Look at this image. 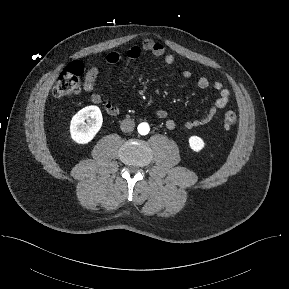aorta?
Returning <instances> with one entry per match:
<instances>
[{
  "instance_id": "1",
  "label": "aorta",
  "mask_w": 289,
  "mask_h": 289,
  "mask_svg": "<svg viewBox=\"0 0 289 289\" xmlns=\"http://www.w3.org/2000/svg\"><path fill=\"white\" fill-rule=\"evenodd\" d=\"M149 125L147 123H141L138 125V132L141 135H146L149 133Z\"/></svg>"
}]
</instances>
